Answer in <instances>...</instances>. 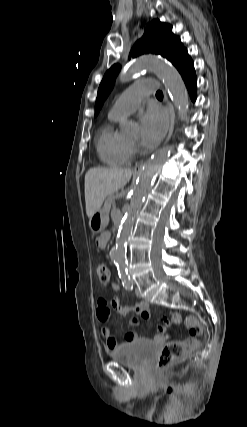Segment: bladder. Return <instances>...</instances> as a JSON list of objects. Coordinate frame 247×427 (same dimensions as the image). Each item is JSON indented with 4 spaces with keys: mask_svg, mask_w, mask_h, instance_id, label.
<instances>
[{
    "mask_svg": "<svg viewBox=\"0 0 247 427\" xmlns=\"http://www.w3.org/2000/svg\"><path fill=\"white\" fill-rule=\"evenodd\" d=\"M156 345L148 340H134L111 353V358L130 368H145L155 354Z\"/></svg>",
    "mask_w": 247,
    "mask_h": 427,
    "instance_id": "obj_1",
    "label": "bladder"
}]
</instances>
